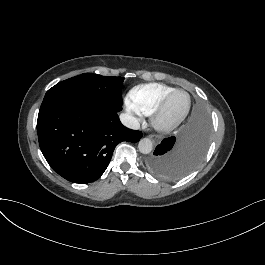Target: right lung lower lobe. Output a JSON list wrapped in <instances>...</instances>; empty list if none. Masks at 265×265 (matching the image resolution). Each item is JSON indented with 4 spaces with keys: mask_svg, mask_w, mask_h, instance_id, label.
I'll use <instances>...</instances> for the list:
<instances>
[{
    "mask_svg": "<svg viewBox=\"0 0 265 265\" xmlns=\"http://www.w3.org/2000/svg\"><path fill=\"white\" fill-rule=\"evenodd\" d=\"M41 151L51 168L74 183L97 180L106 170L116 145L138 142L140 131L126 128L117 113L59 99L41 107L37 120Z\"/></svg>",
    "mask_w": 265,
    "mask_h": 265,
    "instance_id": "98d812e1",
    "label": "right lung lower lobe"
}]
</instances>
